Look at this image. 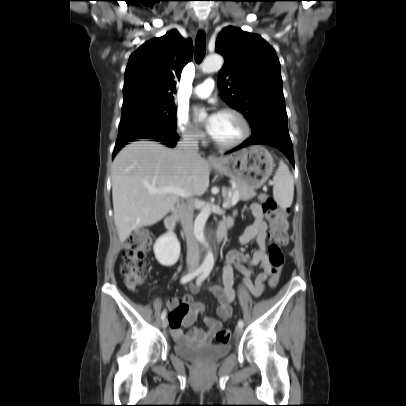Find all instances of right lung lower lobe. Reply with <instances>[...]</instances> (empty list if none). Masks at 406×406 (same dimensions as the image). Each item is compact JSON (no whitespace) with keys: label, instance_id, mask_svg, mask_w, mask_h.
<instances>
[{"label":"right lung lower lobe","instance_id":"right-lung-lower-lobe-1","mask_svg":"<svg viewBox=\"0 0 406 406\" xmlns=\"http://www.w3.org/2000/svg\"><path fill=\"white\" fill-rule=\"evenodd\" d=\"M178 138L179 137L177 134H173V135L162 136V137H157V138H152V139H154V141L161 142L162 144L173 148V147H175L176 142L178 141ZM132 141H134V140H132ZM127 142L116 143L114 151H113V157L121 150V148L124 147V145L127 144Z\"/></svg>","mask_w":406,"mask_h":406}]
</instances>
